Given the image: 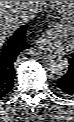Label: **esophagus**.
Instances as JSON below:
<instances>
[{
    "label": "esophagus",
    "mask_w": 74,
    "mask_h": 122,
    "mask_svg": "<svg viewBox=\"0 0 74 122\" xmlns=\"http://www.w3.org/2000/svg\"><path fill=\"white\" fill-rule=\"evenodd\" d=\"M48 39L45 36L40 37L36 42V47L39 50H48L49 47Z\"/></svg>",
    "instance_id": "1"
}]
</instances>
